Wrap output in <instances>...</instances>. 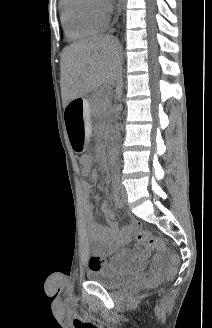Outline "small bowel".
<instances>
[{
    "mask_svg": "<svg viewBox=\"0 0 212 328\" xmlns=\"http://www.w3.org/2000/svg\"><path fill=\"white\" fill-rule=\"evenodd\" d=\"M84 176H88L91 182H97L99 174L97 171L92 170L91 173H84ZM91 184L88 181L81 183L82 198L85 203L86 214V227L90 236L99 242L100 249L106 255H114L112 261L109 263H102L99 259L97 265H91L89 261V267L93 269H106L115 272H129L140 268L149 257V248L145 246H138L133 252H121L117 253L122 244L133 237L135 229L134 224L125 226L123 229H119L115 219V212L109 208L106 203H102L98 210L101 212L105 220L106 226L99 225L94 219V213L97 207L90 201Z\"/></svg>",
    "mask_w": 212,
    "mask_h": 328,
    "instance_id": "small-bowel-1",
    "label": "small bowel"
}]
</instances>
